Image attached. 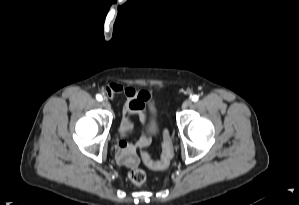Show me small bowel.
Returning a JSON list of instances; mask_svg holds the SVG:
<instances>
[{
  "mask_svg": "<svg viewBox=\"0 0 299 205\" xmlns=\"http://www.w3.org/2000/svg\"><path fill=\"white\" fill-rule=\"evenodd\" d=\"M123 93L126 96V102L123 107V121L118 130L119 136H126L131 128V121L138 115L142 121H146L152 107L153 97L150 92L145 90H136L132 87H123L117 83H111L106 87V94ZM150 142V136L144 133L143 138L137 144H130L121 140L116 149V159L119 164L125 167H134L138 164L139 158L137 151Z\"/></svg>",
  "mask_w": 299,
  "mask_h": 205,
  "instance_id": "obj_1",
  "label": "small bowel"
}]
</instances>
